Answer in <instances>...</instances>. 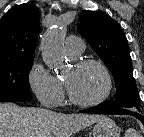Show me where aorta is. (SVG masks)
I'll use <instances>...</instances> for the list:
<instances>
[{
    "label": "aorta",
    "mask_w": 144,
    "mask_h": 137,
    "mask_svg": "<svg viewBox=\"0 0 144 137\" xmlns=\"http://www.w3.org/2000/svg\"><path fill=\"white\" fill-rule=\"evenodd\" d=\"M63 42L64 28L62 26L52 28L42 39L43 61L50 69L58 70L64 67Z\"/></svg>",
    "instance_id": "1"
}]
</instances>
